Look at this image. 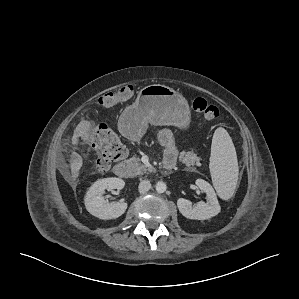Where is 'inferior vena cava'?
<instances>
[{
    "label": "inferior vena cava",
    "instance_id": "602c4592",
    "mask_svg": "<svg viewBox=\"0 0 299 299\" xmlns=\"http://www.w3.org/2000/svg\"><path fill=\"white\" fill-rule=\"evenodd\" d=\"M139 192L144 194L151 189V183L149 180H142L138 186Z\"/></svg>",
    "mask_w": 299,
    "mask_h": 299
}]
</instances>
